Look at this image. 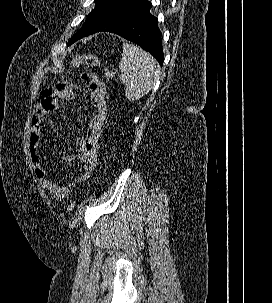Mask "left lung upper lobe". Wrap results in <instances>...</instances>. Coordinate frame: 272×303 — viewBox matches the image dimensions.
<instances>
[{"label": "left lung upper lobe", "instance_id": "obj_1", "mask_svg": "<svg viewBox=\"0 0 272 303\" xmlns=\"http://www.w3.org/2000/svg\"><path fill=\"white\" fill-rule=\"evenodd\" d=\"M142 0H95V8L89 13L80 30L70 39L68 45L74 43L82 34L90 31L103 20L116 15Z\"/></svg>", "mask_w": 272, "mask_h": 303}]
</instances>
